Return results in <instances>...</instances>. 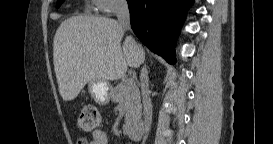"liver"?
Returning a JSON list of instances; mask_svg holds the SVG:
<instances>
[{
	"label": "liver",
	"instance_id": "obj_1",
	"mask_svg": "<svg viewBox=\"0 0 273 144\" xmlns=\"http://www.w3.org/2000/svg\"><path fill=\"white\" fill-rule=\"evenodd\" d=\"M125 29L106 17L74 16L64 20L53 40V62L59 92L74 100L87 83L123 77L141 59L135 40L121 41Z\"/></svg>",
	"mask_w": 273,
	"mask_h": 144
}]
</instances>
